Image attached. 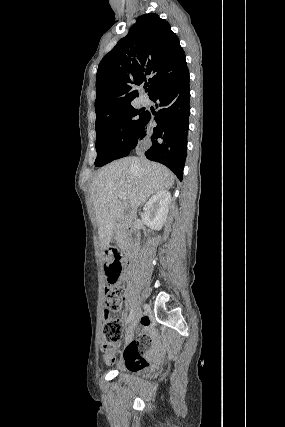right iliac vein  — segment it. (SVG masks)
Here are the masks:
<instances>
[{
    "label": "right iliac vein",
    "instance_id": "right-iliac-vein-1",
    "mask_svg": "<svg viewBox=\"0 0 285 427\" xmlns=\"http://www.w3.org/2000/svg\"><path fill=\"white\" fill-rule=\"evenodd\" d=\"M140 318H141V311L138 310V311L135 312V314H134V316L132 318V323H131V325L127 329L126 336L128 338L131 337V335L133 333V330H134L135 326L137 325V323L139 322Z\"/></svg>",
    "mask_w": 285,
    "mask_h": 427
}]
</instances>
